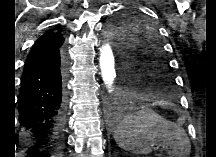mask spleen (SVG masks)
Listing matches in <instances>:
<instances>
[{"label":"spleen","mask_w":216,"mask_h":157,"mask_svg":"<svg viewBox=\"0 0 216 157\" xmlns=\"http://www.w3.org/2000/svg\"><path fill=\"white\" fill-rule=\"evenodd\" d=\"M170 126V122L151 109H141L122 119L114 139L120 148L136 155L147 154L154 146H169L174 150L180 138L169 130Z\"/></svg>","instance_id":"spleen-1"}]
</instances>
